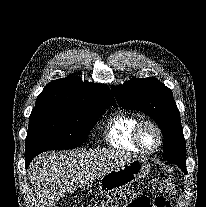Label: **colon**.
Masks as SVG:
<instances>
[{
  "mask_svg": "<svg viewBox=\"0 0 206 207\" xmlns=\"http://www.w3.org/2000/svg\"><path fill=\"white\" fill-rule=\"evenodd\" d=\"M153 196L134 197L128 191L115 192L91 207H170L174 183L169 173L161 172L153 180Z\"/></svg>",
  "mask_w": 206,
  "mask_h": 207,
  "instance_id": "colon-1",
  "label": "colon"
}]
</instances>
